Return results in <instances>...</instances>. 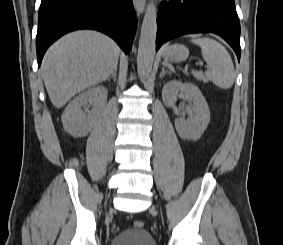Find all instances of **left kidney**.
<instances>
[{
    "label": "left kidney",
    "instance_id": "obj_1",
    "mask_svg": "<svg viewBox=\"0 0 283 245\" xmlns=\"http://www.w3.org/2000/svg\"><path fill=\"white\" fill-rule=\"evenodd\" d=\"M181 92L192 105L189 107L191 115L188 120L180 117L175 120V127L179 136L185 140H198L210 122V111L207 102L197 86L191 83L169 81L164 85L162 97L166 104L172 105Z\"/></svg>",
    "mask_w": 283,
    "mask_h": 245
}]
</instances>
